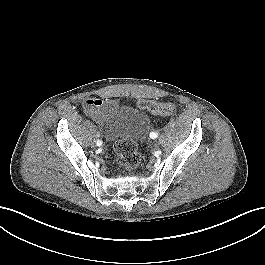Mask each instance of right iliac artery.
I'll return each mask as SVG.
<instances>
[{"instance_id":"1","label":"right iliac artery","mask_w":265,"mask_h":265,"mask_svg":"<svg viewBox=\"0 0 265 265\" xmlns=\"http://www.w3.org/2000/svg\"><path fill=\"white\" fill-rule=\"evenodd\" d=\"M97 146H101L102 145V141H97Z\"/></svg>"}]
</instances>
